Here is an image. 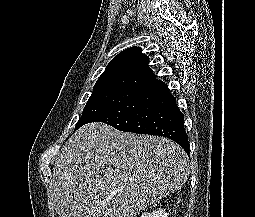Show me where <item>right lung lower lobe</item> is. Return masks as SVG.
<instances>
[{
  "label": "right lung lower lobe",
  "mask_w": 255,
  "mask_h": 217,
  "mask_svg": "<svg viewBox=\"0 0 255 217\" xmlns=\"http://www.w3.org/2000/svg\"><path fill=\"white\" fill-rule=\"evenodd\" d=\"M90 122H103L125 132L164 136L178 143L189 154L184 116L168 85L160 80L145 87L136 97L96 116Z\"/></svg>",
  "instance_id": "98d812e1"
}]
</instances>
